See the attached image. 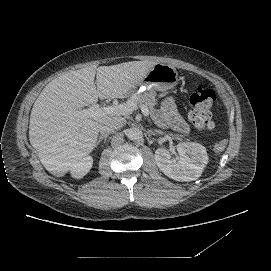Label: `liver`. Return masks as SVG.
Segmentation results:
<instances>
[{"label": "liver", "mask_w": 271, "mask_h": 271, "mask_svg": "<svg viewBox=\"0 0 271 271\" xmlns=\"http://www.w3.org/2000/svg\"><path fill=\"white\" fill-rule=\"evenodd\" d=\"M156 63L131 61L112 66H89L49 82L36 99L30 117L29 140L53 176L64 177L94 152L99 125L122 120L113 113L75 117L71 112L94 105L98 98H124ZM96 76V85L94 83Z\"/></svg>", "instance_id": "liver-1"}]
</instances>
